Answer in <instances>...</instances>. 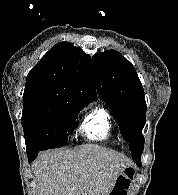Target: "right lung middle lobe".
Masks as SVG:
<instances>
[{
    "label": "right lung middle lobe",
    "mask_w": 178,
    "mask_h": 195,
    "mask_svg": "<svg viewBox=\"0 0 178 195\" xmlns=\"http://www.w3.org/2000/svg\"><path fill=\"white\" fill-rule=\"evenodd\" d=\"M90 102L45 98L23 99L22 125L27 155L59 148L75 129V119Z\"/></svg>",
    "instance_id": "1"
}]
</instances>
